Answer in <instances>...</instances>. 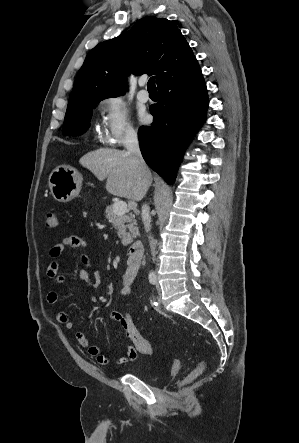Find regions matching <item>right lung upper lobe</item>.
Masks as SVG:
<instances>
[{"label":"right lung upper lobe","mask_w":299,"mask_h":443,"mask_svg":"<svg viewBox=\"0 0 299 443\" xmlns=\"http://www.w3.org/2000/svg\"><path fill=\"white\" fill-rule=\"evenodd\" d=\"M198 67L189 44L173 22L145 17L130 31L98 44L88 53L67 108L124 94L130 73H153L160 85Z\"/></svg>","instance_id":"cb5924a9"}]
</instances>
